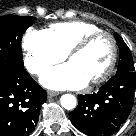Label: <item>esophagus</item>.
<instances>
[{
	"label": "esophagus",
	"mask_w": 136,
	"mask_h": 136,
	"mask_svg": "<svg viewBox=\"0 0 136 136\" xmlns=\"http://www.w3.org/2000/svg\"><path fill=\"white\" fill-rule=\"evenodd\" d=\"M47 94H48V97H54V96H57L59 93L55 91H48Z\"/></svg>",
	"instance_id": "1"
}]
</instances>
